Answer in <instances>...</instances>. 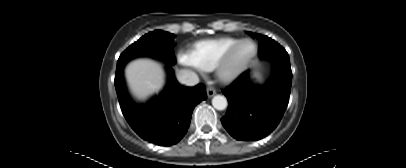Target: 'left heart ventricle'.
I'll return each mask as SVG.
<instances>
[{
    "instance_id": "left-heart-ventricle-1",
    "label": "left heart ventricle",
    "mask_w": 406,
    "mask_h": 168,
    "mask_svg": "<svg viewBox=\"0 0 406 168\" xmlns=\"http://www.w3.org/2000/svg\"><path fill=\"white\" fill-rule=\"evenodd\" d=\"M253 52V46L249 43L243 44L234 59L235 64L241 63L243 60H245L248 56L251 55Z\"/></svg>"
}]
</instances>
